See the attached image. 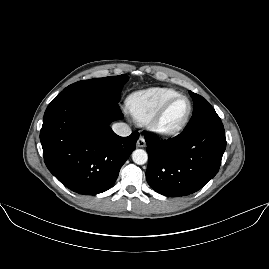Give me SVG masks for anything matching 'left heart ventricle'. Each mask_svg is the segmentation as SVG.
I'll return each instance as SVG.
<instances>
[{
	"mask_svg": "<svg viewBox=\"0 0 269 269\" xmlns=\"http://www.w3.org/2000/svg\"><path fill=\"white\" fill-rule=\"evenodd\" d=\"M188 108V102L186 99L181 98L175 101L166 113L162 127L164 129H173L183 120Z\"/></svg>",
	"mask_w": 269,
	"mask_h": 269,
	"instance_id": "1",
	"label": "left heart ventricle"
}]
</instances>
